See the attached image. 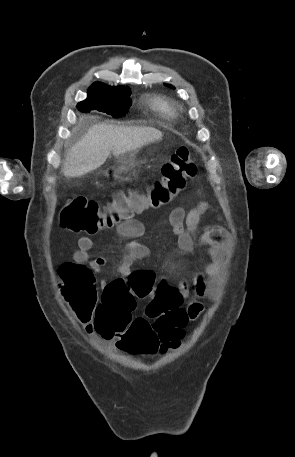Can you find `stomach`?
Masks as SVG:
<instances>
[{"mask_svg":"<svg viewBox=\"0 0 295 457\" xmlns=\"http://www.w3.org/2000/svg\"><path fill=\"white\" fill-rule=\"evenodd\" d=\"M124 161L132 160L134 158V153H126L120 157ZM129 162H120L117 168L111 167L106 170L105 174L108 178H113L116 180L119 177L121 172H124L128 169Z\"/></svg>","mask_w":295,"mask_h":457,"instance_id":"0dacf381","label":"stomach"}]
</instances>
